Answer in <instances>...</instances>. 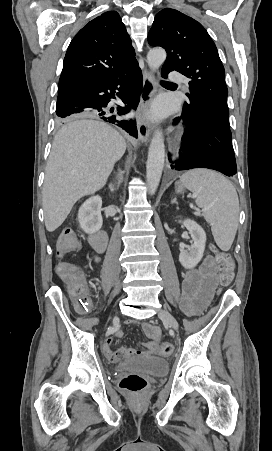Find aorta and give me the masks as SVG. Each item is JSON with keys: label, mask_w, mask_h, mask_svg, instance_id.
Listing matches in <instances>:
<instances>
[{"label": "aorta", "mask_w": 272, "mask_h": 451, "mask_svg": "<svg viewBox=\"0 0 272 451\" xmlns=\"http://www.w3.org/2000/svg\"><path fill=\"white\" fill-rule=\"evenodd\" d=\"M166 60V52L162 48L150 50L147 54V64L152 72L159 70L161 64ZM165 146L163 134L156 130L149 146L148 160L146 166V182L149 194H155L164 168Z\"/></svg>", "instance_id": "762f6f07"}]
</instances>
